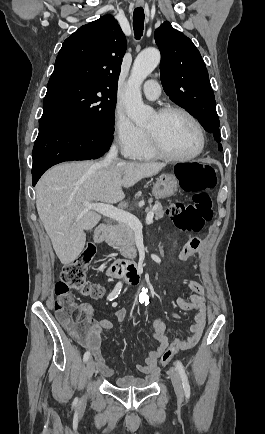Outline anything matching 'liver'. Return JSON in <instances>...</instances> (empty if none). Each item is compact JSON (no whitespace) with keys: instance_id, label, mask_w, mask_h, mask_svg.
Segmentation results:
<instances>
[{"instance_id":"obj_1","label":"liver","mask_w":265,"mask_h":434,"mask_svg":"<svg viewBox=\"0 0 265 434\" xmlns=\"http://www.w3.org/2000/svg\"><path fill=\"white\" fill-rule=\"evenodd\" d=\"M166 164L72 162L51 168L36 186V208L61 264H71L81 254L86 234L100 222V214L85 210L83 202L116 204L124 200L122 188L158 174Z\"/></svg>"}]
</instances>
